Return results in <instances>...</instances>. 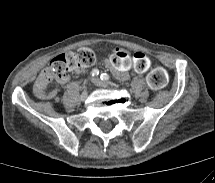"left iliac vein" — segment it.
I'll return each mask as SVG.
<instances>
[{
  "label": "left iliac vein",
  "mask_w": 215,
  "mask_h": 183,
  "mask_svg": "<svg viewBox=\"0 0 215 183\" xmlns=\"http://www.w3.org/2000/svg\"><path fill=\"white\" fill-rule=\"evenodd\" d=\"M92 82L96 85V86H99V87H104V88H108L110 87V83L108 82H105V81H102L101 79L99 78H93L92 79Z\"/></svg>",
  "instance_id": "4c4485c4"
}]
</instances>
